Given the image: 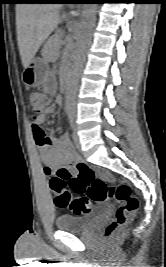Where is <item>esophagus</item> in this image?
I'll list each match as a JSON object with an SVG mask.
<instances>
[{
	"mask_svg": "<svg viewBox=\"0 0 166 267\" xmlns=\"http://www.w3.org/2000/svg\"><path fill=\"white\" fill-rule=\"evenodd\" d=\"M64 14L68 17H75L77 14V10L74 4H68L65 7Z\"/></svg>",
	"mask_w": 166,
	"mask_h": 267,
	"instance_id": "esophagus-1",
	"label": "esophagus"
}]
</instances>
